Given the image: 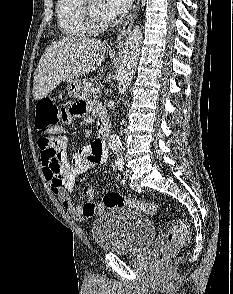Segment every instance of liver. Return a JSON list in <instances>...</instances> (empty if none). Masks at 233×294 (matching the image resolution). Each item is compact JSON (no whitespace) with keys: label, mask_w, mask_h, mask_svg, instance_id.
Instances as JSON below:
<instances>
[{"label":"liver","mask_w":233,"mask_h":294,"mask_svg":"<svg viewBox=\"0 0 233 294\" xmlns=\"http://www.w3.org/2000/svg\"><path fill=\"white\" fill-rule=\"evenodd\" d=\"M106 49V43L97 39L80 37L53 41L34 74V99L46 97L62 81L96 70L105 60Z\"/></svg>","instance_id":"obj_1"}]
</instances>
